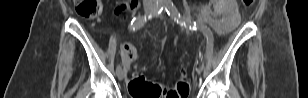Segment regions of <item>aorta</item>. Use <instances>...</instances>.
Returning a JSON list of instances; mask_svg holds the SVG:
<instances>
[{
  "mask_svg": "<svg viewBox=\"0 0 308 98\" xmlns=\"http://www.w3.org/2000/svg\"><path fill=\"white\" fill-rule=\"evenodd\" d=\"M165 5L172 6V0H161Z\"/></svg>",
  "mask_w": 308,
  "mask_h": 98,
  "instance_id": "1",
  "label": "aorta"
}]
</instances>
